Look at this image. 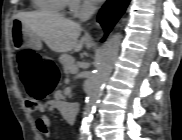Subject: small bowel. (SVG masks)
Masks as SVG:
<instances>
[{"label":"small bowel","instance_id":"1","mask_svg":"<svg viewBox=\"0 0 182 140\" xmlns=\"http://www.w3.org/2000/svg\"><path fill=\"white\" fill-rule=\"evenodd\" d=\"M26 108L29 112H37L40 117L36 120V128L44 136H52V126L49 116L46 114V106L41 102H34L31 99L26 100Z\"/></svg>","mask_w":182,"mask_h":140}]
</instances>
